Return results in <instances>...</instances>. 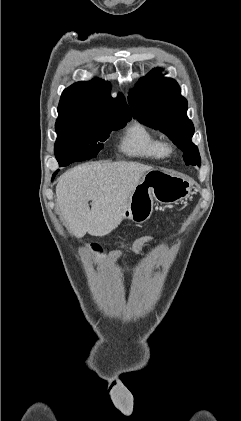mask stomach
<instances>
[{
	"label": "stomach",
	"mask_w": 241,
	"mask_h": 421,
	"mask_svg": "<svg viewBox=\"0 0 241 421\" xmlns=\"http://www.w3.org/2000/svg\"><path fill=\"white\" fill-rule=\"evenodd\" d=\"M191 190L190 179L162 168H154L145 173L135 186L121 218L136 223L146 222L153 212L154 200L161 204H176L186 199Z\"/></svg>",
	"instance_id": "1"
}]
</instances>
